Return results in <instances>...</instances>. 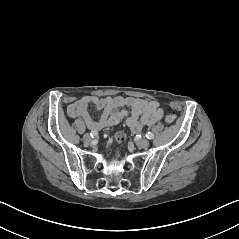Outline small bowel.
Listing matches in <instances>:
<instances>
[{"instance_id":"obj_1","label":"small bowel","mask_w":239,"mask_h":239,"mask_svg":"<svg viewBox=\"0 0 239 239\" xmlns=\"http://www.w3.org/2000/svg\"><path fill=\"white\" fill-rule=\"evenodd\" d=\"M89 104L102 111L98 120L88 112ZM124 107L130 108V112ZM67 113L71 118H82L90 130H100L126 120L130 129L138 133L145 126L158 122L164 114V108L156 101L123 96H84L69 104Z\"/></svg>"}]
</instances>
